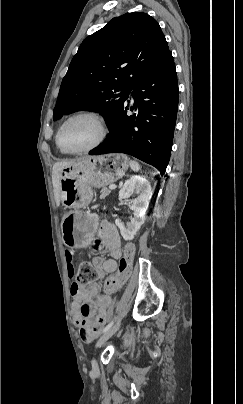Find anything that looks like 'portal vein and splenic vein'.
I'll list each match as a JSON object with an SVG mask.
<instances>
[{
    "label": "portal vein and splenic vein",
    "mask_w": 243,
    "mask_h": 404,
    "mask_svg": "<svg viewBox=\"0 0 243 404\" xmlns=\"http://www.w3.org/2000/svg\"><path fill=\"white\" fill-rule=\"evenodd\" d=\"M115 188H117V186H115V184H111V186H109V190H115Z\"/></svg>",
    "instance_id": "portal-vein-and-splenic-vein-1"
}]
</instances>
